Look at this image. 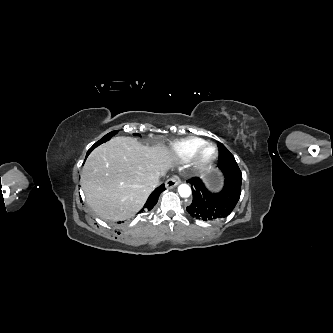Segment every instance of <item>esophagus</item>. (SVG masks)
<instances>
[{
	"label": "esophagus",
	"instance_id": "obj_1",
	"mask_svg": "<svg viewBox=\"0 0 333 333\" xmlns=\"http://www.w3.org/2000/svg\"><path fill=\"white\" fill-rule=\"evenodd\" d=\"M180 182L181 181L178 177H171L166 181L165 186L168 189H172V188L176 187L178 184H180Z\"/></svg>",
	"mask_w": 333,
	"mask_h": 333
}]
</instances>
